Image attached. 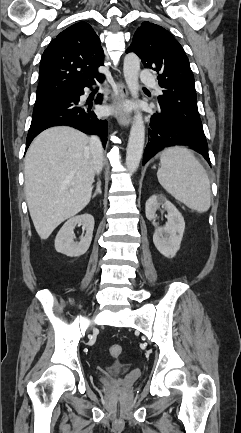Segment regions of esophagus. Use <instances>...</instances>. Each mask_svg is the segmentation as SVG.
<instances>
[{
    "label": "esophagus",
    "mask_w": 241,
    "mask_h": 433,
    "mask_svg": "<svg viewBox=\"0 0 241 433\" xmlns=\"http://www.w3.org/2000/svg\"><path fill=\"white\" fill-rule=\"evenodd\" d=\"M117 89L118 96L115 97V101L118 106H121L128 98V90L125 83L122 81L117 83ZM117 121L121 126L128 127L131 123V116L121 108L117 115Z\"/></svg>",
    "instance_id": "1"
}]
</instances>
